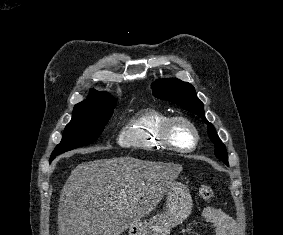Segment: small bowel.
Here are the masks:
<instances>
[{
    "label": "small bowel",
    "mask_w": 283,
    "mask_h": 235,
    "mask_svg": "<svg viewBox=\"0 0 283 235\" xmlns=\"http://www.w3.org/2000/svg\"><path fill=\"white\" fill-rule=\"evenodd\" d=\"M202 217L215 227L216 235H234L236 224L229 215L213 208H205Z\"/></svg>",
    "instance_id": "obj_1"
}]
</instances>
